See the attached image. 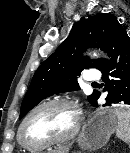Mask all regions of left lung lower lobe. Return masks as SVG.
Instances as JSON below:
<instances>
[{"mask_svg":"<svg viewBox=\"0 0 130 153\" xmlns=\"http://www.w3.org/2000/svg\"><path fill=\"white\" fill-rule=\"evenodd\" d=\"M107 53L113 63L106 60L99 69L105 81L104 90H108L103 106L116 104L130 107V39L125 30L116 35ZM92 105L97 106V100Z\"/></svg>","mask_w":130,"mask_h":153,"instance_id":"obj_1","label":"left lung lower lobe"}]
</instances>
